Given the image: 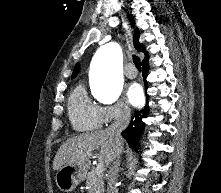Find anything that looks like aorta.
<instances>
[{
    "label": "aorta",
    "mask_w": 221,
    "mask_h": 193,
    "mask_svg": "<svg viewBox=\"0 0 221 193\" xmlns=\"http://www.w3.org/2000/svg\"><path fill=\"white\" fill-rule=\"evenodd\" d=\"M122 51L115 43L98 49L92 62L93 95L102 103L115 102L122 91Z\"/></svg>",
    "instance_id": "aorta-1"
}]
</instances>
